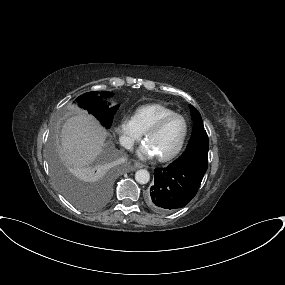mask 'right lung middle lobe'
Wrapping results in <instances>:
<instances>
[{
  "label": "right lung middle lobe",
  "mask_w": 285,
  "mask_h": 285,
  "mask_svg": "<svg viewBox=\"0 0 285 285\" xmlns=\"http://www.w3.org/2000/svg\"><path fill=\"white\" fill-rule=\"evenodd\" d=\"M97 94L98 92L85 93L76 98V102L80 107L88 110L89 113L93 114L101 122L102 125L109 128L112 124L114 114L116 113L119 105L109 107L105 104L103 99L97 97ZM110 96H112V93L110 92H101L102 98H107ZM50 155L56 182L65 197L74 205L82 209H93L97 207L98 204L90 202L80 191L77 183L71 177H69L58 165L55 159L53 148ZM110 183L111 176L107 173L104 174L100 180V184L102 185L103 195L105 198H107L109 195Z\"/></svg>",
  "instance_id": "dd1d6c3e"
}]
</instances>
